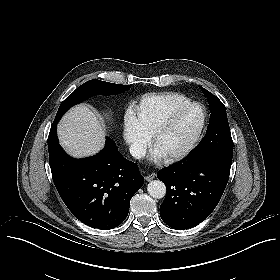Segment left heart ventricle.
<instances>
[{"instance_id":"left-heart-ventricle-1","label":"left heart ventricle","mask_w":280,"mask_h":280,"mask_svg":"<svg viewBox=\"0 0 280 280\" xmlns=\"http://www.w3.org/2000/svg\"><path fill=\"white\" fill-rule=\"evenodd\" d=\"M197 124L196 113L189 115L183 121L172 125L158 143L160 153H172L178 150L193 132Z\"/></svg>"}]
</instances>
